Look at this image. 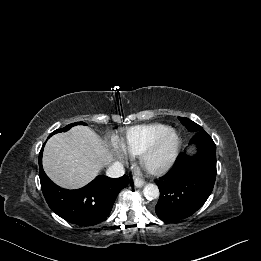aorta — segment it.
Masks as SVG:
<instances>
[{
  "instance_id": "aorta-1",
  "label": "aorta",
  "mask_w": 261,
  "mask_h": 261,
  "mask_svg": "<svg viewBox=\"0 0 261 261\" xmlns=\"http://www.w3.org/2000/svg\"><path fill=\"white\" fill-rule=\"evenodd\" d=\"M143 193L148 200H155L159 197V189L155 184H147L143 189Z\"/></svg>"
}]
</instances>
